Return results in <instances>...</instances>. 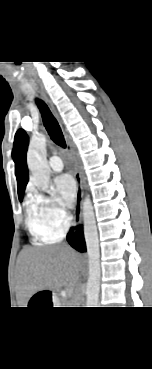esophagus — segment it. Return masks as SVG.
Instances as JSON below:
<instances>
[{
  "label": "esophagus",
  "mask_w": 152,
  "mask_h": 369,
  "mask_svg": "<svg viewBox=\"0 0 152 369\" xmlns=\"http://www.w3.org/2000/svg\"><path fill=\"white\" fill-rule=\"evenodd\" d=\"M65 141L67 145V150L70 154V157L74 164V176L77 183V192H76V200H75V209H74V227H78L82 220V203H83V186H82V178L80 167L78 164V160L76 157V153L73 147V144L70 138L65 135Z\"/></svg>",
  "instance_id": "esophagus-1"
}]
</instances>
